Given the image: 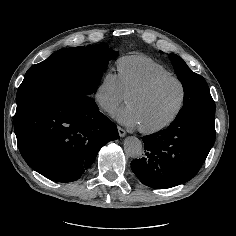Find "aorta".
I'll list each match as a JSON object with an SVG mask.
<instances>
[{
	"mask_svg": "<svg viewBox=\"0 0 236 236\" xmlns=\"http://www.w3.org/2000/svg\"><path fill=\"white\" fill-rule=\"evenodd\" d=\"M124 152L127 156L138 158L143 153V146L141 140L137 137L129 136L124 140Z\"/></svg>",
	"mask_w": 236,
	"mask_h": 236,
	"instance_id": "1",
	"label": "aorta"
}]
</instances>
